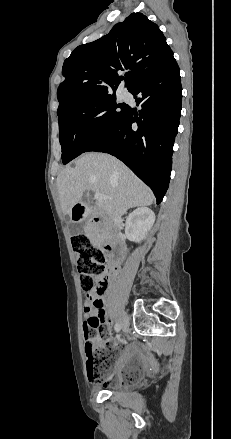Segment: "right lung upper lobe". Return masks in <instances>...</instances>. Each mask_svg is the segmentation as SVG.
Segmentation results:
<instances>
[{
    "mask_svg": "<svg viewBox=\"0 0 231 439\" xmlns=\"http://www.w3.org/2000/svg\"><path fill=\"white\" fill-rule=\"evenodd\" d=\"M173 57L159 27L142 13H132L102 38L78 46L63 64L57 114L80 102L114 96L126 72L131 92Z\"/></svg>",
    "mask_w": 231,
    "mask_h": 439,
    "instance_id": "right-lung-upper-lobe-1",
    "label": "right lung upper lobe"
}]
</instances>
